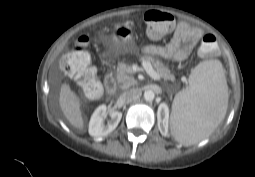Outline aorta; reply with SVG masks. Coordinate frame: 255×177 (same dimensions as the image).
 <instances>
[{
    "label": "aorta",
    "instance_id": "762f6f07",
    "mask_svg": "<svg viewBox=\"0 0 255 177\" xmlns=\"http://www.w3.org/2000/svg\"><path fill=\"white\" fill-rule=\"evenodd\" d=\"M154 97H155V94H154V92H153L152 90H146V91L144 92V99H145L146 101L151 102V101L154 100Z\"/></svg>",
    "mask_w": 255,
    "mask_h": 177
}]
</instances>
